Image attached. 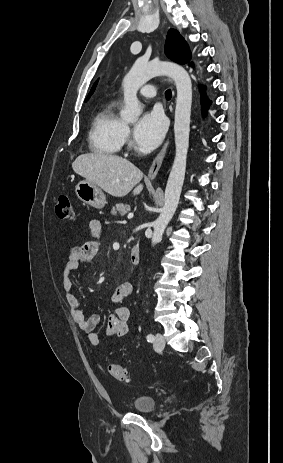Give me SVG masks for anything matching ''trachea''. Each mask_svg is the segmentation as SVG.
<instances>
[{"label": "trachea", "mask_w": 283, "mask_h": 463, "mask_svg": "<svg viewBox=\"0 0 283 463\" xmlns=\"http://www.w3.org/2000/svg\"><path fill=\"white\" fill-rule=\"evenodd\" d=\"M165 97H166L167 100H170V99H171L172 93H171V90H170V89L166 90V92H165Z\"/></svg>", "instance_id": "3493384b"}]
</instances>
